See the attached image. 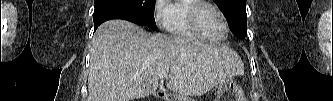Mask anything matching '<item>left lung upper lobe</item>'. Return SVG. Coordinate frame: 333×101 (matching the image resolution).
<instances>
[{
	"instance_id": "1",
	"label": "left lung upper lobe",
	"mask_w": 333,
	"mask_h": 101,
	"mask_svg": "<svg viewBox=\"0 0 333 101\" xmlns=\"http://www.w3.org/2000/svg\"><path fill=\"white\" fill-rule=\"evenodd\" d=\"M222 11L232 32L240 39L247 36L246 0H213Z\"/></svg>"
}]
</instances>
